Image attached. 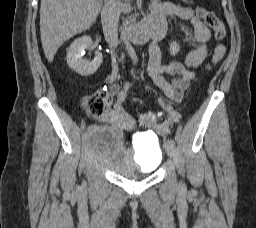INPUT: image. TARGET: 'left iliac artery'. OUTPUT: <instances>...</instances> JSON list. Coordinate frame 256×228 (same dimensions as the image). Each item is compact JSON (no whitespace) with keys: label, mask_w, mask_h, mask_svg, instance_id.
Masks as SVG:
<instances>
[{"label":"left iliac artery","mask_w":256,"mask_h":228,"mask_svg":"<svg viewBox=\"0 0 256 228\" xmlns=\"http://www.w3.org/2000/svg\"><path fill=\"white\" fill-rule=\"evenodd\" d=\"M167 142H168V143H170V144H172V145H174V144H175V142H174V140H173V139H168V140H167Z\"/></svg>","instance_id":"left-iliac-artery-1"}]
</instances>
